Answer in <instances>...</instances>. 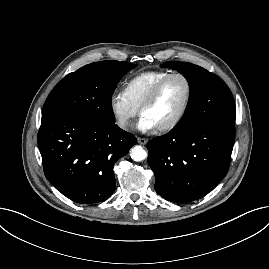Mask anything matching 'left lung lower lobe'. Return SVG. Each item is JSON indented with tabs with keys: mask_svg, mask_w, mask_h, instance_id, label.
Returning a JSON list of instances; mask_svg holds the SVG:
<instances>
[{
	"mask_svg": "<svg viewBox=\"0 0 269 269\" xmlns=\"http://www.w3.org/2000/svg\"><path fill=\"white\" fill-rule=\"evenodd\" d=\"M234 139L235 121L216 119L150 140L148 163L156 192L176 203L204 197L227 173Z\"/></svg>",
	"mask_w": 269,
	"mask_h": 269,
	"instance_id": "1",
	"label": "left lung lower lobe"
}]
</instances>
